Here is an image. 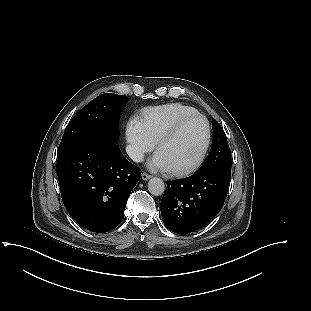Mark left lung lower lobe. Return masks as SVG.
I'll use <instances>...</instances> for the list:
<instances>
[{"label":"left lung lower lobe","mask_w":311,"mask_h":311,"mask_svg":"<svg viewBox=\"0 0 311 311\" xmlns=\"http://www.w3.org/2000/svg\"><path fill=\"white\" fill-rule=\"evenodd\" d=\"M230 179L229 172L205 169L182 180L167 181L161 201L164 225L179 234L205 226L221 210Z\"/></svg>","instance_id":"0a47b994"}]
</instances>
